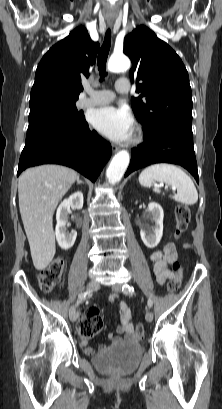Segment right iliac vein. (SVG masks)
Masks as SVG:
<instances>
[{"instance_id": "right-iliac-vein-1", "label": "right iliac vein", "mask_w": 222, "mask_h": 409, "mask_svg": "<svg viewBox=\"0 0 222 409\" xmlns=\"http://www.w3.org/2000/svg\"><path fill=\"white\" fill-rule=\"evenodd\" d=\"M100 284L96 280H91L87 284V291H94L99 288ZM69 317L71 321L75 322L78 319V313L74 306H71L69 309Z\"/></svg>"}]
</instances>
